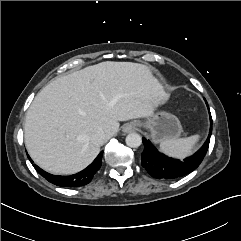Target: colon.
<instances>
[{
    "label": "colon",
    "instance_id": "5ec220e1",
    "mask_svg": "<svg viewBox=\"0 0 241 241\" xmlns=\"http://www.w3.org/2000/svg\"><path fill=\"white\" fill-rule=\"evenodd\" d=\"M147 72V77L149 79H160L162 77V70L158 68V65L156 63H149L146 68Z\"/></svg>",
    "mask_w": 241,
    "mask_h": 241
}]
</instances>
